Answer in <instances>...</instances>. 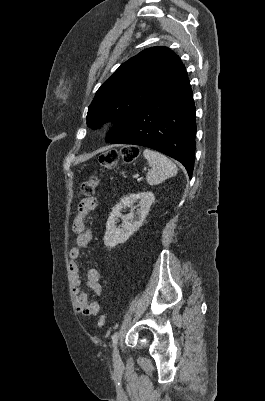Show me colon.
I'll use <instances>...</instances> for the list:
<instances>
[{
	"label": "colon",
	"instance_id": "5ec220e1",
	"mask_svg": "<svg viewBox=\"0 0 265 401\" xmlns=\"http://www.w3.org/2000/svg\"><path fill=\"white\" fill-rule=\"evenodd\" d=\"M139 154V150L134 146L123 147L120 151L111 150L100 155L99 161L106 169H113L120 158L126 162L134 161ZM99 185L97 176H92L88 180L81 183L79 187V195L84 198L92 197ZM105 322V315H100L98 319V326L102 327Z\"/></svg>",
	"mask_w": 265,
	"mask_h": 401
}]
</instances>
